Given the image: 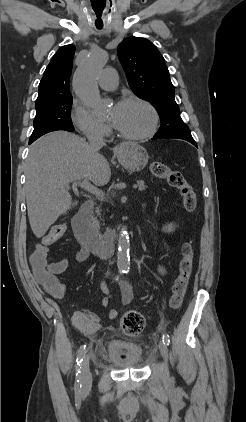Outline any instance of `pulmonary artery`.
Masks as SVG:
<instances>
[{"label":"pulmonary artery","mask_w":246,"mask_h":422,"mask_svg":"<svg viewBox=\"0 0 246 422\" xmlns=\"http://www.w3.org/2000/svg\"><path fill=\"white\" fill-rule=\"evenodd\" d=\"M117 83V74L113 68H106L101 71L98 77V84L101 88L111 90L117 86Z\"/></svg>","instance_id":"e3ab8cb5"}]
</instances>
